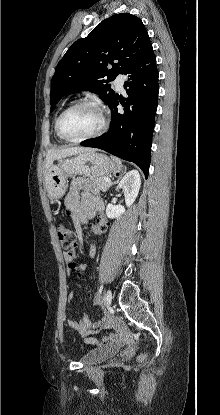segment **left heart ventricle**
I'll return each mask as SVG.
<instances>
[{
  "label": "left heart ventricle",
  "mask_w": 220,
  "mask_h": 415,
  "mask_svg": "<svg viewBox=\"0 0 220 415\" xmlns=\"http://www.w3.org/2000/svg\"><path fill=\"white\" fill-rule=\"evenodd\" d=\"M100 125L101 117L97 109L83 106L66 114L61 122V131L68 138H81L96 132Z\"/></svg>",
  "instance_id": "left-heart-ventricle-1"
}]
</instances>
